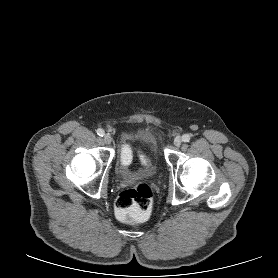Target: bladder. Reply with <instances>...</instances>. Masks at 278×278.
Segmentation results:
<instances>
[{"label": "bladder", "mask_w": 278, "mask_h": 278, "mask_svg": "<svg viewBox=\"0 0 278 278\" xmlns=\"http://www.w3.org/2000/svg\"><path fill=\"white\" fill-rule=\"evenodd\" d=\"M140 139L145 141L153 150H155V138L147 132H142L138 135Z\"/></svg>", "instance_id": "31cf9c89"}]
</instances>
